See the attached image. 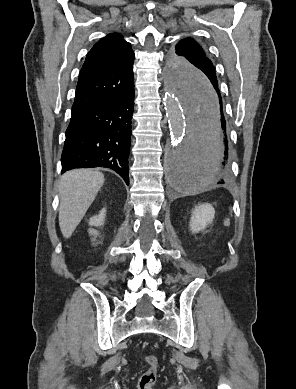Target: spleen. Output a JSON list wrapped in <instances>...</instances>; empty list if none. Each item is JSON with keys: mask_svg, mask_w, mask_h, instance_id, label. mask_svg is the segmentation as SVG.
<instances>
[{"mask_svg": "<svg viewBox=\"0 0 296 389\" xmlns=\"http://www.w3.org/2000/svg\"><path fill=\"white\" fill-rule=\"evenodd\" d=\"M193 179H196L197 180V178H193ZM201 183H202V180H201ZM189 191H194L197 187L194 185V183L193 184H191L189 187Z\"/></svg>", "mask_w": 296, "mask_h": 389, "instance_id": "spleen-1", "label": "spleen"}]
</instances>
